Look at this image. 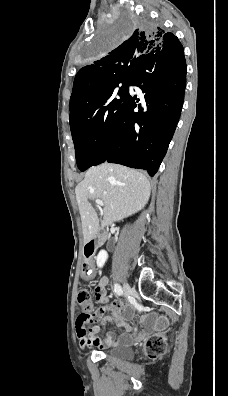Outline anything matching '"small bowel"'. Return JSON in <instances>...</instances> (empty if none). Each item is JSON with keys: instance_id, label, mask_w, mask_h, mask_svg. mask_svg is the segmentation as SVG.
Segmentation results:
<instances>
[{"instance_id": "small-bowel-1", "label": "small bowel", "mask_w": 228, "mask_h": 396, "mask_svg": "<svg viewBox=\"0 0 228 396\" xmlns=\"http://www.w3.org/2000/svg\"><path fill=\"white\" fill-rule=\"evenodd\" d=\"M83 272L87 277L94 274V266L90 261H87L83 265ZM108 284L107 277H101L94 288L95 297L99 302L104 305L95 312L93 320L101 322H115L118 326L125 328V332L119 337L112 332H108L104 338L98 336L100 327H92L89 331L84 326L77 323L76 333L79 339L81 347H95L99 349H105L108 347L116 346L121 343H129L131 341H137L142 339L155 324L150 319L142 320V331L138 335L131 334V328L127 325V321L130 320L134 315V308L130 304L123 303L121 301H115L107 304V292L106 286ZM109 314L108 316H105Z\"/></svg>"}]
</instances>
